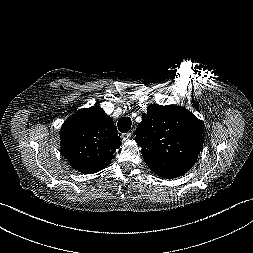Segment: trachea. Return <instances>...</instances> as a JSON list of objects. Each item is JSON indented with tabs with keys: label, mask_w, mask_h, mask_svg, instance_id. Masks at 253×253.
<instances>
[{
	"label": "trachea",
	"mask_w": 253,
	"mask_h": 253,
	"mask_svg": "<svg viewBox=\"0 0 253 253\" xmlns=\"http://www.w3.org/2000/svg\"><path fill=\"white\" fill-rule=\"evenodd\" d=\"M132 125L131 119L129 117H122L119 119L117 126L118 129L122 132V133H126L130 130Z\"/></svg>",
	"instance_id": "obj_1"
}]
</instances>
